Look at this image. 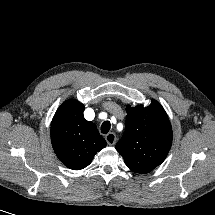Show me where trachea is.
Wrapping results in <instances>:
<instances>
[{
	"label": "trachea",
	"instance_id": "3493384b",
	"mask_svg": "<svg viewBox=\"0 0 215 215\" xmlns=\"http://www.w3.org/2000/svg\"><path fill=\"white\" fill-rule=\"evenodd\" d=\"M110 127H111V124H110L109 121L103 122L102 125H101V132L103 134L108 133V131L110 130Z\"/></svg>",
	"mask_w": 215,
	"mask_h": 215
}]
</instances>
